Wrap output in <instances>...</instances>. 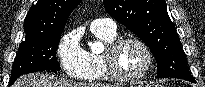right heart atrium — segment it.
Instances as JSON below:
<instances>
[{
  "instance_id": "d8ad5b80",
  "label": "right heart atrium",
  "mask_w": 205,
  "mask_h": 87,
  "mask_svg": "<svg viewBox=\"0 0 205 87\" xmlns=\"http://www.w3.org/2000/svg\"><path fill=\"white\" fill-rule=\"evenodd\" d=\"M59 63L65 73L72 78H80L87 69L86 51L81 47L76 33L65 34L56 49Z\"/></svg>"
}]
</instances>
